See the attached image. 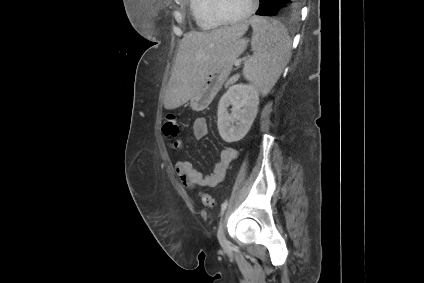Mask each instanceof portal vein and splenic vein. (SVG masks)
<instances>
[{
  "mask_svg": "<svg viewBox=\"0 0 424 283\" xmlns=\"http://www.w3.org/2000/svg\"><path fill=\"white\" fill-rule=\"evenodd\" d=\"M240 63H241V60H236V61H235V66H236V67H239V66H240Z\"/></svg>",
  "mask_w": 424,
  "mask_h": 283,
  "instance_id": "portal-vein-and-splenic-vein-1",
  "label": "portal vein and splenic vein"
}]
</instances>
